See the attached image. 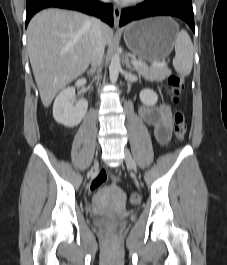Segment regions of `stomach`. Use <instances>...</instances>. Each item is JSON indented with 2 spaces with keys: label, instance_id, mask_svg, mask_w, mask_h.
<instances>
[{
  "label": "stomach",
  "instance_id": "1",
  "mask_svg": "<svg viewBox=\"0 0 227 265\" xmlns=\"http://www.w3.org/2000/svg\"><path fill=\"white\" fill-rule=\"evenodd\" d=\"M179 32L170 17H153L129 24L124 31L127 47L142 61L165 59L172 51Z\"/></svg>",
  "mask_w": 227,
  "mask_h": 265
}]
</instances>
